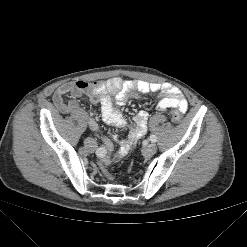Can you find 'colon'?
I'll use <instances>...</instances> for the list:
<instances>
[{
	"label": "colon",
	"instance_id": "5ec220e1",
	"mask_svg": "<svg viewBox=\"0 0 247 247\" xmlns=\"http://www.w3.org/2000/svg\"><path fill=\"white\" fill-rule=\"evenodd\" d=\"M97 85L98 84L96 82L90 84V86H92V87H96ZM170 117H171V120L176 124L180 123V121H181V114L177 110L171 111ZM101 170L105 174V176H107L108 178H111V175L109 174L107 169L102 164H101Z\"/></svg>",
	"mask_w": 247,
	"mask_h": 247
}]
</instances>
